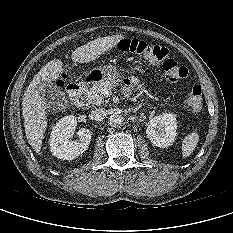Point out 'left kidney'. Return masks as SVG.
Listing matches in <instances>:
<instances>
[{
  "instance_id": "left-kidney-1",
  "label": "left kidney",
  "mask_w": 233,
  "mask_h": 233,
  "mask_svg": "<svg viewBox=\"0 0 233 233\" xmlns=\"http://www.w3.org/2000/svg\"><path fill=\"white\" fill-rule=\"evenodd\" d=\"M176 129V115L173 113H163L149 121L146 134L155 146L166 148L174 142Z\"/></svg>"
}]
</instances>
